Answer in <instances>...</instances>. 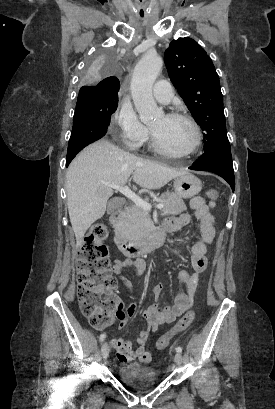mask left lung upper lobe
<instances>
[{"instance_id":"5c2ea615","label":"left lung upper lobe","mask_w":275,"mask_h":409,"mask_svg":"<svg viewBox=\"0 0 275 409\" xmlns=\"http://www.w3.org/2000/svg\"><path fill=\"white\" fill-rule=\"evenodd\" d=\"M169 77L204 133V153L230 146L219 76L211 58L193 39L173 40L164 53Z\"/></svg>"}]
</instances>
